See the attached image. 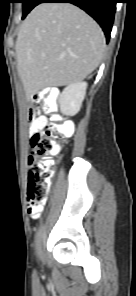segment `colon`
Masks as SVG:
<instances>
[{
    "instance_id": "obj_1",
    "label": "colon",
    "mask_w": 136,
    "mask_h": 296,
    "mask_svg": "<svg viewBox=\"0 0 136 296\" xmlns=\"http://www.w3.org/2000/svg\"><path fill=\"white\" fill-rule=\"evenodd\" d=\"M29 117L41 121V129L31 138L28 157L27 207L31 216H37L47 198L53 169L52 156L57 154L73 133L72 122H62L51 97L36 101L29 109Z\"/></svg>"
}]
</instances>
